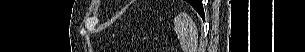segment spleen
Wrapping results in <instances>:
<instances>
[{"mask_svg": "<svg viewBox=\"0 0 305 52\" xmlns=\"http://www.w3.org/2000/svg\"><path fill=\"white\" fill-rule=\"evenodd\" d=\"M174 24H175V30L178 34V37L180 39V43L182 45V49L185 52L190 51V45L185 42L184 39L180 37V31L184 28L188 29L190 31V35L192 36L193 40H197V30L196 27L193 23V21L186 15V14H180L175 17L174 19Z\"/></svg>", "mask_w": 305, "mask_h": 52, "instance_id": "obj_1", "label": "spleen"}]
</instances>
